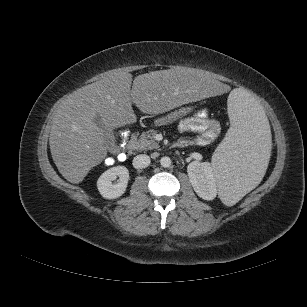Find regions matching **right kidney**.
Masks as SVG:
<instances>
[{"label":"right kidney","mask_w":307,"mask_h":307,"mask_svg":"<svg viewBox=\"0 0 307 307\" xmlns=\"http://www.w3.org/2000/svg\"><path fill=\"white\" fill-rule=\"evenodd\" d=\"M117 177V182L112 183ZM128 181V169L125 166H115L102 173L97 180V188L103 198L116 199L125 193Z\"/></svg>","instance_id":"ca27d5eb"}]
</instances>
